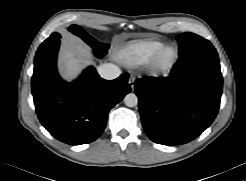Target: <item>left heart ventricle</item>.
I'll return each instance as SVG.
<instances>
[{"instance_id": "b2bd125f", "label": "left heart ventricle", "mask_w": 246, "mask_h": 181, "mask_svg": "<svg viewBox=\"0 0 246 181\" xmlns=\"http://www.w3.org/2000/svg\"><path fill=\"white\" fill-rule=\"evenodd\" d=\"M172 56H173V51H172V50H169V51H167L166 54L164 55V60H165V61H168V60H170V59L172 58Z\"/></svg>"}]
</instances>
